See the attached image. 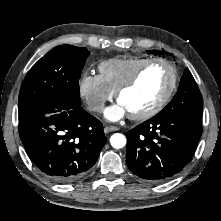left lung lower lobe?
Returning a JSON list of instances; mask_svg holds the SVG:
<instances>
[{"instance_id": "obj_1", "label": "left lung lower lobe", "mask_w": 221, "mask_h": 221, "mask_svg": "<svg viewBox=\"0 0 221 221\" xmlns=\"http://www.w3.org/2000/svg\"><path fill=\"white\" fill-rule=\"evenodd\" d=\"M201 134L202 123L163 109L127 132V166L143 180L167 181L191 161Z\"/></svg>"}]
</instances>
